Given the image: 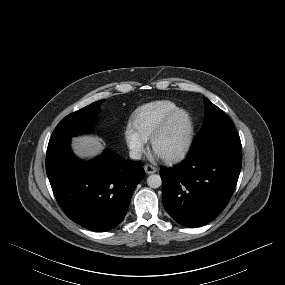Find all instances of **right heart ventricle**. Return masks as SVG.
I'll return each mask as SVG.
<instances>
[{
	"label": "right heart ventricle",
	"mask_w": 285,
	"mask_h": 285,
	"mask_svg": "<svg viewBox=\"0 0 285 285\" xmlns=\"http://www.w3.org/2000/svg\"><path fill=\"white\" fill-rule=\"evenodd\" d=\"M179 106L170 100H156L138 107L131 118L132 128L145 140H149L162 120Z\"/></svg>",
	"instance_id": "1"
}]
</instances>
